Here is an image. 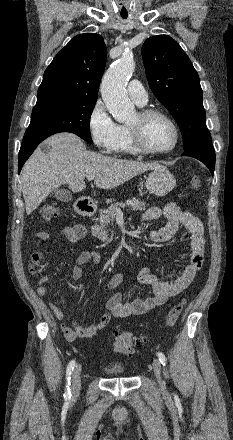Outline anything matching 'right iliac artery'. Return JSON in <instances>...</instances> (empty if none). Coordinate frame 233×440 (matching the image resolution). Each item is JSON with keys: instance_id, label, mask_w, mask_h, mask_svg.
<instances>
[{"instance_id": "82829eb1", "label": "right iliac artery", "mask_w": 233, "mask_h": 440, "mask_svg": "<svg viewBox=\"0 0 233 440\" xmlns=\"http://www.w3.org/2000/svg\"><path fill=\"white\" fill-rule=\"evenodd\" d=\"M74 366H75V360L70 361V363L67 366V370H66V388H65V393H64V398L65 399L71 398L70 379H71V374H72V371L74 369Z\"/></svg>"}]
</instances>
